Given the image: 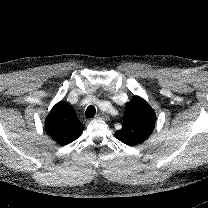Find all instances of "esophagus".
I'll return each instance as SVG.
<instances>
[{"mask_svg": "<svg viewBox=\"0 0 208 208\" xmlns=\"http://www.w3.org/2000/svg\"><path fill=\"white\" fill-rule=\"evenodd\" d=\"M95 118H97V119H103V120L109 119L108 115L105 114V113H99V114H97V115L95 116Z\"/></svg>", "mask_w": 208, "mask_h": 208, "instance_id": "esophagus-1", "label": "esophagus"}]
</instances>
